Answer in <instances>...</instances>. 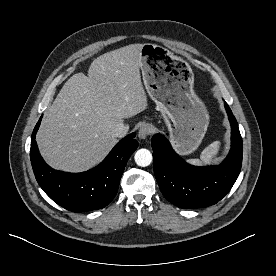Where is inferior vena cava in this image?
<instances>
[{
	"mask_svg": "<svg viewBox=\"0 0 276 276\" xmlns=\"http://www.w3.org/2000/svg\"><path fill=\"white\" fill-rule=\"evenodd\" d=\"M129 130V125L124 123H119L117 127L114 129V136L116 138H123L127 135Z\"/></svg>",
	"mask_w": 276,
	"mask_h": 276,
	"instance_id": "1",
	"label": "inferior vena cava"
}]
</instances>
